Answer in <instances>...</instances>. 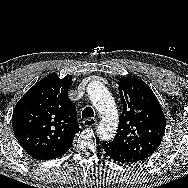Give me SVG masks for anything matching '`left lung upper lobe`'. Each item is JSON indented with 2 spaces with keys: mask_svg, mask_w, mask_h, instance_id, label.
<instances>
[{
  "mask_svg": "<svg viewBox=\"0 0 188 188\" xmlns=\"http://www.w3.org/2000/svg\"><path fill=\"white\" fill-rule=\"evenodd\" d=\"M118 90L123 112L112 142L146 159L158 148L165 132L166 119L159 101L139 78H120Z\"/></svg>",
  "mask_w": 188,
  "mask_h": 188,
  "instance_id": "5c2ea615",
  "label": "left lung upper lobe"
}]
</instances>
